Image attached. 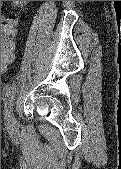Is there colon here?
<instances>
[{"instance_id": "colon-1", "label": "colon", "mask_w": 121, "mask_h": 169, "mask_svg": "<svg viewBox=\"0 0 121 169\" xmlns=\"http://www.w3.org/2000/svg\"><path fill=\"white\" fill-rule=\"evenodd\" d=\"M17 23L16 15H9L4 19L1 40V69H7L13 60Z\"/></svg>"}]
</instances>
